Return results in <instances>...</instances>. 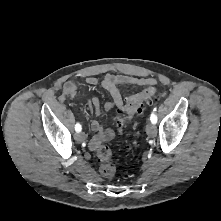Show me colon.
Segmentation results:
<instances>
[{"instance_id": "1", "label": "colon", "mask_w": 221, "mask_h": 221, "mask_svg": "<svg viewBox=\"0 0 221 221\" xmlns=\"http://www.w3.org/2000/svg\"><path fill=\"white\" fill-rule=\"evenodd\" d=\"M156 88L150 86L143 91L132 95L128 98L124 112L127 115V118L130 119L134 115H138L142 112L144 106L152 102L155 97ZM125 120V118H124ZM97 156L102 162L100 166V173L104 178H112L115 175V167L110 163L112 152L108 146H100L97 151Z\"/></svg>"}]
</instances>
